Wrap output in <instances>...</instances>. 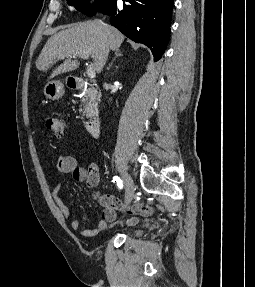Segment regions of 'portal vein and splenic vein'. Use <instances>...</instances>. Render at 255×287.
<instances>
[{"label":"portal vein and splenic vein","mask_w":255,"mask_h":287,"mask_svg":"<svg viewBox=\"0 0 255 287\" xmlns=\"http://www.w3.org/2000/svg\"><path fill=\"white\" fill-rule=\"evenodd\" d=\"M77 56H79V58H83V60H89L88 52H80V54H77ZM87 74H88L89 78H95L96 74H95L94 64H91V66H89V68L87 70Z\"/></svg>","instance_id":"1"}]
</instances>
